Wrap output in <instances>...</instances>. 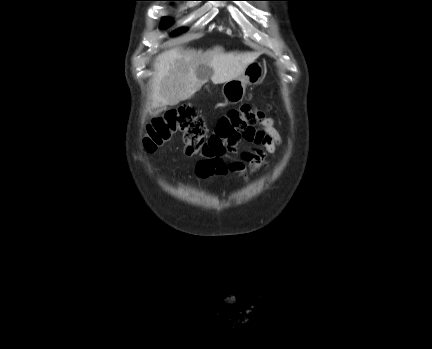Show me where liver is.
Segmentation results:
<instances>
[{
	"instance_id": "obj_1",
	"label": "liver",
	"mask_w": 432,
	"mask_h": 349,
	"mask_svg": "<svg viewBox=\"0 0 432 349\" xmlns=\"http://www.w3.org/2000/svg\"><path fill=\"white\" fill-rule=\"evenodd\" d=\"M258 56V52L227 53L219 46L205 52L183 47L166 50L155 63L152 107L174 106L191 98L208 81L205 68L211 70L214 84L225 83L241 76Z\"/></svg>"
}]
</instances>
